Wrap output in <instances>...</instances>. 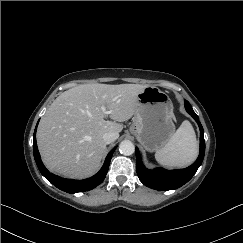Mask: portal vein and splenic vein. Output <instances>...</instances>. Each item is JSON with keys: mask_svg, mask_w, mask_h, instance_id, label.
<instances>
[{"mask_svg": "<svg viewBox=\"0 0 243 243\" xmlns=\"http://www.w3.org/2000/svg\"><path fill=\"white\" fill-rule=\"evenodd\" d=\"M102 111H103L105 114L108 113L107 110H106V108H105L104 106H102Z\"/></svg>", "mask_w": 243, "mask_h": 243, "instance_id": "portal-vein-and-splenic-vein-1", "label": "portal vein and splenic vein"}]
</instances>
